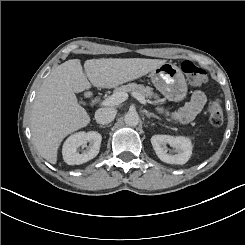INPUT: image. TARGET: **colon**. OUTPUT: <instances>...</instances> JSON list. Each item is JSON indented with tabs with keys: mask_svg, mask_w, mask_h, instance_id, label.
<instances>
[{
	"mask_svg": "<svg viewBox=\"0 0 245 245\" xmlns=\"http://www.w3.org/2000/svg\"><path fill=\"white\" fill-rule=\"evenodd\" d=\"M181 70L187 76L189 81L194 84L201 86L206 83L207 75L206 71L201 67L195 65L191 61H184L181 63ZM207 113L210 123L213 126H220L223 123V110L218 100H211L208 103Z\"/></svg>",
	"mask_w": 245,
	"mask_h": 245,
	"instance_id": "colon-1",
	"label": "colon"
}]
</instances>
